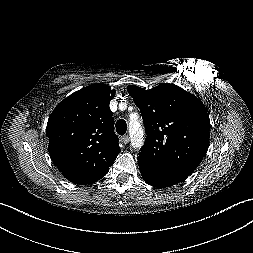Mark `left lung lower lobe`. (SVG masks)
Returning a JSON list of instances; mask_svg holds the SVG:
<instances>
[{
    "label": "left lung lower lobe",
    "instance_id": "0a47b994",
    "mask_svg": "<svg viewBox=\"0 0 253 253\" xmlns=\"http://www.w3.org/2000/svg\"><path fill=\"white\" fill-rule=\"evenodd\" d=\"M138 164L145 182L157 188L173 186L185 180L189 175V173L186 172L158 168L140 155L138 157Z\"/></svg>",
    "mask_w": 253,
    "mask_h": 253
}]
</instances>
